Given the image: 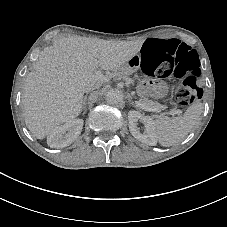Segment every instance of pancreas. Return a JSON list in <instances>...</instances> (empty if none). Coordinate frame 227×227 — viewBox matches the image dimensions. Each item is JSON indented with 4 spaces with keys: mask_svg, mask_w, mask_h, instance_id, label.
<instances>
[{
    "mask_svg": "<svg viewBox=\"0 0 227 227\" xmlns=\"http://www.w3.org/2000/svg\"><path fill=\"white\" fill-rule=\"evenodd\" d=\"M139 102L146 105V106L157 107L160 110V112H161V109H163V106L161 104L157 103L156 101H151L148 97H141L139 99Z\"/></svg>",
    "mask_w": 227,
    "mask_h": 227,
    "instance_id": "obj_1",
    "label": "pancreas"
}]
</instances>
